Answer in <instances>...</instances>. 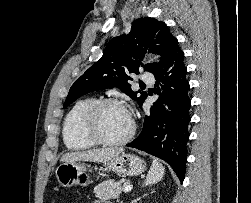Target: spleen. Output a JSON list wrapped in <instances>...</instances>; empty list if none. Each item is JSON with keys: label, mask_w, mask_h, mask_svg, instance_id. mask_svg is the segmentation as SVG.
I'll list each match as a JSON object with an SVG mask.
<instances>
[{"label": "spleen", "mask_w": 251, "mask_h": 203, "mask_svg": "<svg viewBox=\"0 0 251 203\" xmlns=\"http://www.w3.org/2000/svg\"><path fill=\"white\" fill-rule=\"evenodd\" d=\"M165 168L158 162L157 159H153L152 166L147 174L145 185L155 184L162 180L164 176Z\"/></svg>", "instance_id": "1"}]
</instances>
